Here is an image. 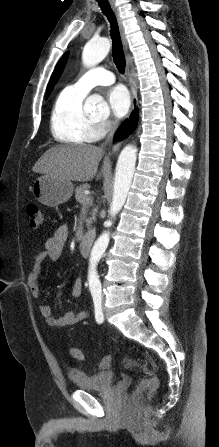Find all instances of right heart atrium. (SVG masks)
Here are the masks:
<instances>
[{"mask_svg": "<svg viewBox=\"0 0 219 447\" xmlns=\"http://www.w3.org/2000/svg\"><path fill=\"white\" fill-rule=\"evenodd\" d=\"M98 130L100 131L101 135L108 133L112 130V123L109 121H103L97 124Z\"/></svg>", "mask_w": 219, "mask_h": 447, "instance_id": "d8ad5b80", "label": "right heart atrium"}]
</instances>
